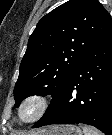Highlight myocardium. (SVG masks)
Wrapping results in <instances>:
<instances>
[{"mask_svg": "<svg viewBox=\"0 0 112 135\" xmlns=\"http://www.w3.org/2000/svg\"><path fill=\"white\" fill-rule=\"evenodd\" d=\"M27 108H32L30 116L24 117L23 112ZM48 109V100L42 94H30L23 98L17 107V118L23 124H31L38 121Z\"/></svg>", "mask_w": 112, "mask_h": 135, "instance_id": "obj_1", "label": "myocardium"}]
</instances>
